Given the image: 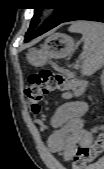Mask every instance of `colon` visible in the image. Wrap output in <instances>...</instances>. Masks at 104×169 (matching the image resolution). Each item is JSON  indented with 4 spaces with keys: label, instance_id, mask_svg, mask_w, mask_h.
Returning a JSON list of instances; mask_svg holds the SVG:
<instances>
[{
    "label": "colon",
    "instance_id": "colon-1",
    "mask_svg": "<svg viewBox=\"0 0 104 169\" xmlns=\"http://www.w3.org/2000/svg\"><path fill=\"white\" fill-rule=\"evenodd\" d=\"M29 85L25 89V95L34 114H38L47 94L56 91L70 90L76 96L81 97L86 92V82L68 78L63 72H54L50 69H42L32 73L28 77ZM104 149V137L98 135L89 145L81 146L77 150L73 162V169H84L88 164L97 159Z\"/></svg>",
    "mask_w": 104,
    "mask_h": 169
}]
</instances>
